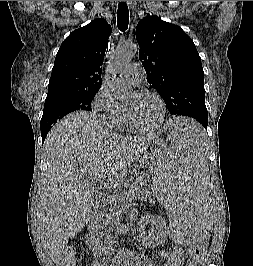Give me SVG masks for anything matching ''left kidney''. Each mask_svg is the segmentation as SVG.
Masks as SVG:
<instances>
[{"instance_id": "obj_1", "label": "left kidney", "mask_w": 253, "mask_h": 266, "mask_svg": "<svg viewBox=\"0 0 253 266\" xmlns=\"http://www.w3.org/2000/svg\"><path fill=\"white\" fill-rule=\"evenodd\" d=\"M147 224L152 225V230L149 232L146 231ZM137 233L143 245L156 247L165 242L169 234V229L161 216L146 215L138 222Z\"/></svg>"}]
</instances>
